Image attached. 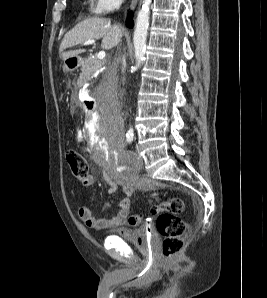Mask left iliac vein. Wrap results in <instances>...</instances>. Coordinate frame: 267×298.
I'll return each instance as SVG.
<instances>
[{
    "label": "left iliac vein",
    "mask_w": 267,
    "mask_h": 298,
    "mask_svg": "<svg viewBox=\"0 0 267 298\" xmlns=\"http://www.w3.org/2000/svg\"><path fill=\"white\" fill-rule=\"evenodd\" d=\"M136 158H137V160H138L139 163H143L144 162L143 158L139 154H137V157Z\"/></svg>",
    "instance_id": "1"
}]
</instances>
